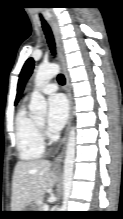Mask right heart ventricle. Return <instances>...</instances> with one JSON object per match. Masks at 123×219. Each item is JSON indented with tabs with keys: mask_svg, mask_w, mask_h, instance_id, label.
<instances>
[{
	"mask_svg": "<svg viewBox=\"0 0 123 219\" xmlns=\"http://www.w3.org/2000/svg\"><path fill=\"white\" fill-rule=\"evenodd\" d=\"M16 146L19 157L24 161H35L44 154L45 145L39 124L21 107L15 122Z\"/></svg>",
	"mask_w": 123,
	"mask_h": 219,
	"instance_id": "obj_1",
	"label": "right heart ventricle"
}]
</instances>
